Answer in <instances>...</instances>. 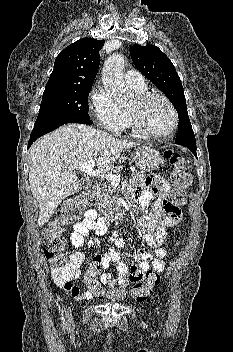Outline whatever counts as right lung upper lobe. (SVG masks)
Returning a JSON list of instances; mask_svg holds the SVG:
<instances>
[{"mask_svg":"<svg viewBox=\"0 0 233 352\" xmlns=\"http://www.w3.org/2000/svg\"><path fill=\"white\" fill-rule=\"evenodd\" d=\"M104 40L82 38L67 46L56 57L46 88L92 85L100 64Z\"/></svg>","mask_w":233,"mask_h":352,"instance_id":"1","label":"right lung upper lobe"}]
</instances>
